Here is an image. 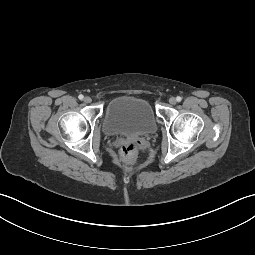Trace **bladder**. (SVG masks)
<instances>
[{"label": "bladder", "mask_w": 255, "mask_h": 255, "mask_svg": "<svg viewBox=\"0 0 255 255\" xmlns=\"http://www.w3.org/2000/svg\"><path fill=\"white\" fill-rule=\"evenodd\" d=\"M103 128L111 136H146L156 131L157 122L147 100L134 96H118L106 105Z\"/></svg>", "instance_id": "1"}]
</instances>
